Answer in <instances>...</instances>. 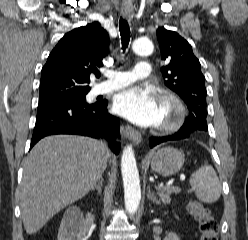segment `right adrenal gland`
Wrapping results in <instances>:
<instances>
[{"label": "right adrenal gland", "mask_w": 248, "mask_h": 240, "mask_svg": "<svg viewBox=\"0 0 248 240\" xmlns=\"http://www.w3.org/2000/svg\"><path fill=\"white\" fill-rule=\"evenodd\" d=\"M103 178L99 179L97 185H95V187L92 190H97L99 194L102 193V186H103Z\"/></svg>", "instance_id": "1"}]
</instances>
